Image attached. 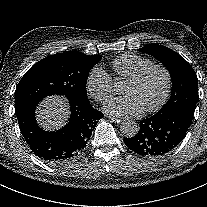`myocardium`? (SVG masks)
Returning a JSON list of instances; mask_svg holds the SVG:
<instances>
[{"label": "myocardium", "mask_w": 207, "mask_h": 207, "mask_svg": "<svg viewBox=\"0 0 207 207\" xmlns=\"http://www.w3.org/2000/svg\"><path fill=\"white\" fill-rule=\"evenodd\" d=\"M153 69H158L161 72H163V74L165 75V79H166V86H165V91L160 101L154 107H151L149 109L142 111L141 114L144 116L157 113L167 103L170 97L171 91H172V86H173V79H172L171 72L169 71L167 67H165L162 64L152 63L144 67L143 69H141L139 72H137L135 75H133L126 81V83L137 84Z\"/></svg>", "instance_id": "obj_1"}]
</instances>
